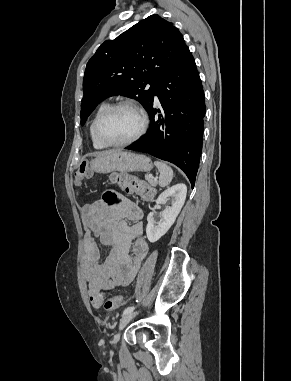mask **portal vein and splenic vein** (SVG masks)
Here are the masks:
<instances>
[{"label": "portal vein and splenic vein", "mask_w": 291, "mask_h": 381, "mask_svg": "<svg viewBox=\"0 0 291 381\" xmlns=\"http://www.w3.org/2000/svg\"><path fill=\"white\" fill-rule=\"evenodd\" d=\"M148 177H149V178H153V176H152L151 174H150V175H148ZM155 180H156V178H155Z\"/></svg>", "instance_id": "obj_1"}]
</instances>
